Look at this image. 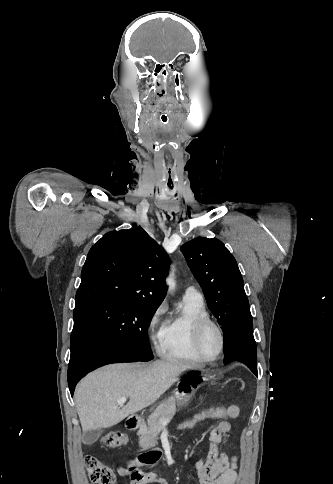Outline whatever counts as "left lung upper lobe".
Returning <instances> with one entry per match:
<instances>
[{"instance_id": "5c2ea615", "label": "left lung upper lobe", "mask_w": 333, "mask_h": 484, "mask_svg": "<svg viewBox=\"0 0 333 484\" xmlns=\"http://www.w3.org/2000/svg\"><path fill=\"white\" fill-rule=\"evenodd\" d=\"M181 250L203 289L209 309L222 326L225 347L234 325L250 313L237 262L218 239L198 237L185 243Z\"/></svg>"}]
</instances>
